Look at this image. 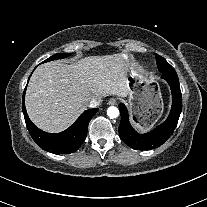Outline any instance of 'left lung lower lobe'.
Here are the masks:
<instances>
[{"label": "left lung lower lobe", "mask_w": 207, "mask_h": 207, "mask_svg": "<svg viewBox=\"0 0 207 207\" xmlns=\"http://www.w3.org/2000/svg\"><path fill=\"white\" fill-rule=\"evenodd\" d=\"M172 92V107L165 122L146 134H139L129 122L128 111L124 104L119 105L121 122L119 125L120 138L131 148L136 150L154 149L162 145L174 132L182 110V94L178 76L175 70L162 73Z\"/></svg>", "instance_id": "obj_1"}]
</instances>
